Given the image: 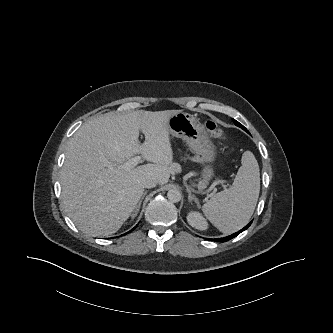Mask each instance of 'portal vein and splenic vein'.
I'll return each mask as SVG.
<instances>
[{
	"instance_id": "18ae733b",
	"label": "portal vein and splenic vein",
	"mask_w": 333,
	"mask_h": 333,
	"mask_svg": "<svg viewBox=\"0 0 333 333\" xmlns=\"http://www.w3.org/2000/svg\"><path fill=\"white\" fill-rule=\"evenodd\" d=\"M141 161H142V157H141V156H135V157L129 159V160L124 164V167H125L126 169L133 168V167L137 166Z\"/></svg>"
}]
</instances>
